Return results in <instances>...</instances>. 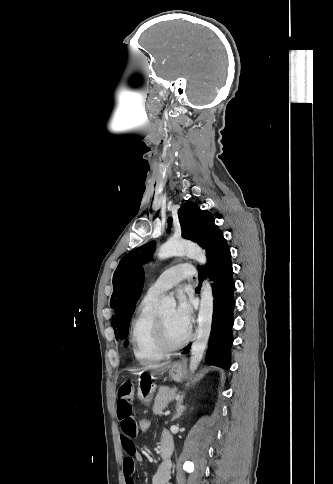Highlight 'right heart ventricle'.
I'll list each match as a JSON object with an SVG mask.
<instances>
[{"mask_svg":"<svg viewBox=\"0 0 333 484\" xmlns=\"http://www.w3.org/2000/svg\"><path fill=\"white\" fill-rule=\"evenodd\" d=\"M156 297L146 295L138 305L131 322L130 339L136 359L144 365L161 360L165 353L155 338L154 309Z\"/></svg>","mask_w":333,"mask_h":484,"instance_id":"e07e8e85","label":"right heart ventricle"}]
</instances>
